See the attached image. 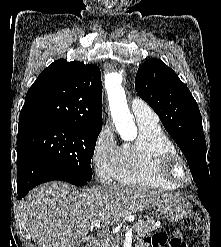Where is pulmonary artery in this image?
Returning <instances> with one entry per match:
<instances>
[{
	"instance_id": "1",
	"label": "pulmonary artery",
	"mask_w": 221,
	"mask_h": 247,
	"mask_svg": "<svg viewBox=\"0 0 221 247\" xmlns=\"http://www.w3.org/2000/svg\"><path fill=\"white\" fill-rule=\"evenodd\" d=\"M131 110L138 123H158L157 114L148 106L146 102L139 98L132 99Z\"/></svg>"
}]
</instances>
